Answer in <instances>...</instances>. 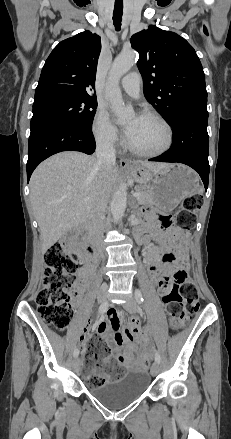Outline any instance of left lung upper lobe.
Masks as SVG:
<instances>
[{
  "label": "left lung upper lobe",
  "mask_w": 231,
  "mask_h": 439,
  "mask_svg": "<svg viewBox=\"0 0 231 439\" xmlns=\"http://www.w3.org/2000/svg\"><path fill=\"white\" fill-rule=\"evenodd\" d=\"M131 45L140 54L145 98L171 126L185 112L207 110L205 74L183 37L151 25L134 34Z\"/></svg>",
  "instance_id": "left-lung-upper-lobe-1"
}]
</instances>
